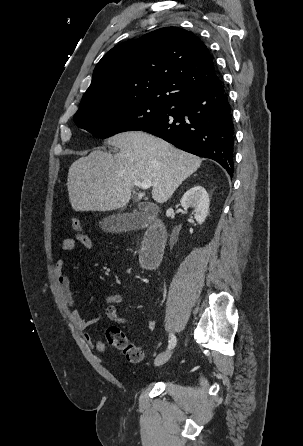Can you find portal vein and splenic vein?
<instances>
[{
	"label": "portal vein and splenic vein",
	"mask_w": 303,
	"mask_h": 446,
	"mask_svg": "<svg viewBox=\"0 0 303 446\" xmlns=\"http://www.w3.org/2000/svg\"><path fill=\"white\" fill-rule=\"evenodd\" d=\"M135 185L142 189H149L152 186V182L150 180H143L135 182Z\"/></svg>",
	"instance_id": "obj_1"
}]
</instances>
